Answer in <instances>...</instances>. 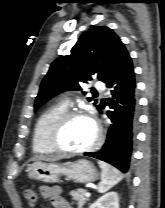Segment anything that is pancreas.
I'll return each mask as SVG.
<instances>
[{"label": "pancreas", "instance_id": "cf45deb5", "mask_svg": "<svg viewBox=\"0 0 165 208\" xmlns=\"http://www.w3.org/2000/svg\"><path fill=\"white\" fill-rule=\"evenodd\" d=\"M85 193V189H77L70 192L71 196L73 197V201L77 202L78 208H82L88 200V198L85 196Z\"/></svg>", "mask_w": 165, "mask_h": 208}]
</instances>
